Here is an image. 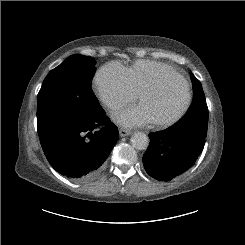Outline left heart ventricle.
<instances>
[{
  "label": "left heart ventricle",
  "mask_w": 245,
  "mask_h": 245,
  "mask_svg": "<svg viewBox=\"0 0 245 245\" xmlns=\"http://www.w3.org/2000/svg\"><path fill=\"white\" fill-rule=\"evenodd\" d=\"M187 93L184 83L174 75L160 81L158 91L142 96L139 103L145 106L153 122L175 116L184 107Z\"/></svg>",
  "instance_id": "left-heart-ventricle-1"
}]
</instances>
